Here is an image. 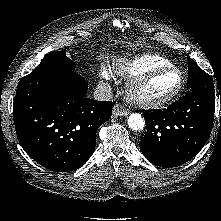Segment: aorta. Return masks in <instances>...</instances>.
I'll return each instance as SVG.
<instances>
[{"instance_id":"aorta-1","label":"aorta","mask_w":221,"mask_h":221,"mask_svg":"<svg viewBox=\"0 0 221 221\" xmlns=\"http://www.w3.org/2000/svg\"><path fill=\"white\" fill-rule=\"evenodd\" d=\"M128 126L133 131H140V130H143L145 126V121L140 114L133 113L128 118Z\"/></svg>"}]
</instances>
